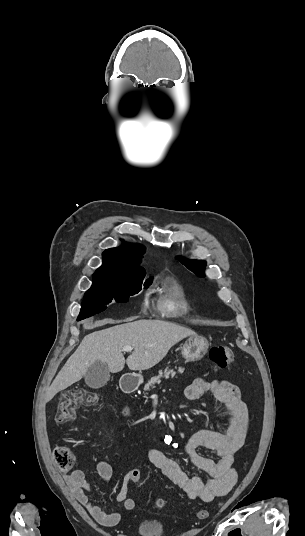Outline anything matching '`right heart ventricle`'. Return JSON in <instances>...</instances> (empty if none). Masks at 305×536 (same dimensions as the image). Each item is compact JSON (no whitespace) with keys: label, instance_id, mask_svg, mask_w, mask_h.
<instances>
[{"label":"right heart ventricle","instance_id":"right-heart-ventricle-1","mask_svg":"<svg viewBox=\"0 0 305 536\" xmlns=\"http://www.w3.org/2000/svg\"><path fill=\"white\" fill-rule=\"evenodd\" d=\"M154 298L168 317H180L189 313V304L184 292L174 283H164Z\"/></svg>","mask_w":305,"mask_h":536}]
</instances>
